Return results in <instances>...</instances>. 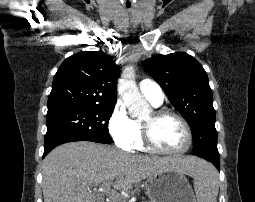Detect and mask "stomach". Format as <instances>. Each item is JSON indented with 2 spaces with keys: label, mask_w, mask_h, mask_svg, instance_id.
I'll return each mask as SVG.
<instances>
[{
  "label": "stomach",
  "mask_w": 255,
  "mask_h": 202,
  "mask_svg": "<svg viewBox=\"0 0 255 202\" xmlns=\"http://www.w3.org/2000/svg\"><path fill=\"white\" fill-rule=\"evenodd\" d=\"M153 186H145L151 202H196L183 173L169 170L152 175Z\"/></svg>",
  "instance_id": "stomach-1"
}]
</instances>
